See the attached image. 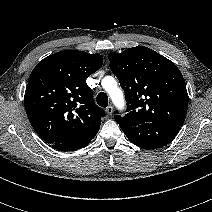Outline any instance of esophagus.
I'll use <instances>...</instances> for the list:
<instances>
[{
  "mask_svg": "<svg viewBox=\"0 0 212 212\" xmlns=\"http://www.w3.org/2000/svg\"><path fill=\"white\" fill-rule=\"evenodd\" d=\"M106 113L108 115H112L113 114V107L111 105H109L107 108H106Z\"/></svg>",
  "mask_w": 212,
  "mask_h": 212,
  "instance_id": "obj_1",
  "label": "esophagus"
}]
</instances>
